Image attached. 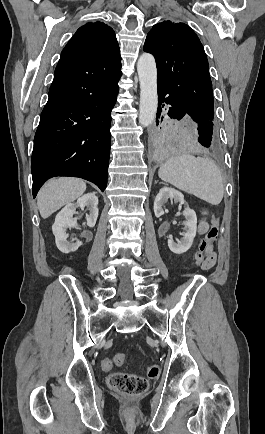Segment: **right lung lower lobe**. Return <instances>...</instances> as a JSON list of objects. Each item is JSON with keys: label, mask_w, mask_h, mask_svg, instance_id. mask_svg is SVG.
Returning a JSON list of instances; mask_svg holds the SVG:
<instances>
[{"label": "right lung lower lobe", "mask_w": 265, "mask_h": 434, "mask_svg": "<svg viewBox=\"0 0 265 434\" xmlns=\"http://www.w3.org/2000/svg\"><path fill=\"white\" fill-rule=\"evenodd\" d=\"M121 57L61 56L34 138L33 197L55 176L107 186L111 110L118 94Z\"/></svg>", "instance_id": "98d812e1"}]
</instances>
